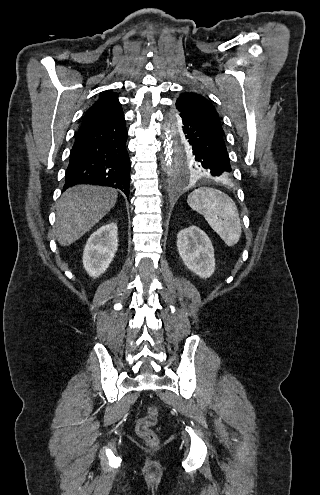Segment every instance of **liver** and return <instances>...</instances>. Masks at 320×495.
<instances>
[{
  "label": "liver",
  "instance_id": "liver-1",
  "mask_svg": "<svg viewBox=\"0 0 320 495\" xmlns=\"http://www.w3.org/2000/svg\"><path fill=\"white\" fill-rule=\"evenodd\" d=\"M115 189L77 185L67 189L57 206L55 236L62 246H68L98 223L115 205Z\"/></svg>",
  "mask_w": 320,
  "mask_h": 495
}]
</instances>
